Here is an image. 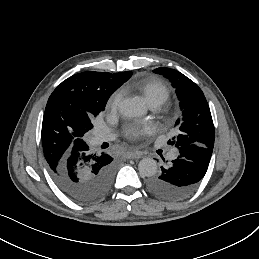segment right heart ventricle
<instances>
[{
	"label": "right heart ventricle",
	"instance_id": "e07e8e85",
	"mask_svg": "<svg viewBox=\"0 0 259 259\" xmlns=\"http://www.w3.org/2000/svg\"><path fill=\"white\" fill-rule=\"evenodd\" d=\"M144 78L136 79L120 87L121 92L129 90L141 93L149 105L160 106L170 98L169 88L160 81L146 83Z\"/></svg>",
	"mask_w": 259,
	"mask_h": 259
}]
</instances>
